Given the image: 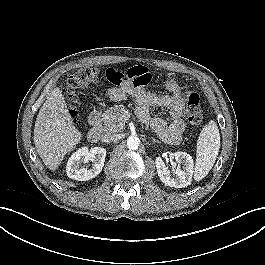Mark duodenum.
Segmentation results:
<instances>
[{
  "instance_id": "410a0bca",
  "label": "duodenum",
  "mask_w": 265,
  "mask_h": 265,
  "mask_svg": "<svg viewBox=\"0 0 265 265\" xmlns=\"http://www.w3.org/2000/svg\"><path fill=\"white\" fill-rule=\"evenodd\" d=\"M100 118L101 111L99 109L92 111L88 118L90 126L88 131V139L92 143L98 142L101 136Z\"/></svg>"
}]
</instances>
